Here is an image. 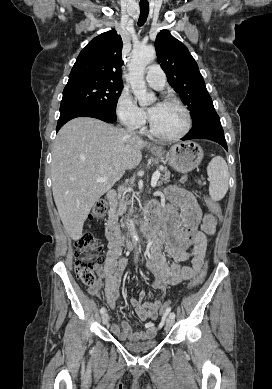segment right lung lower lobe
Here are the masks:
<instances>
[{
	"instance_id": "98d812e1",
	"label": "right lung lower lobe",
	"mask_w": 272,
	"mask_h": 389,
	"mask_svg": "<svg viewBox=\"0 0 272 389\" xmlns=\"http://www.w3.org/2000/svg\"><path fill=\"white\" fill-rule=\"evenodd\" d=\"M76 117H93L107 123H113L116 120V114H112L91 104L79 102L61 103L60 117L56 131L58 132L66 122Z\"/></svg>"
}]
</instances>
